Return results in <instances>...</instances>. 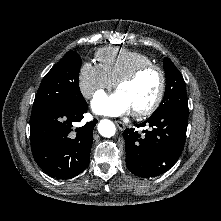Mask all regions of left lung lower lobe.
Returning <instances> with one entry per match:
<instances>
[{
    "mask_svg": "<svg viewBox=\"0 0 221 221\" xmlns=\"http://www.w3.org/2000/svg\"><path fill=\"white\" fill-rule=\"evenodd\" d=\"M188 102L152 114L137 127H149L140 134L125 129L126 166L140 177H154L169 170L179 159L186 139Z\"/></svg>",
    "mask_w": 221,
    "mask_h": 221,
    "instance_id": "obj_1",
    "label": "left lung lower lobe"
}]
</instances>
